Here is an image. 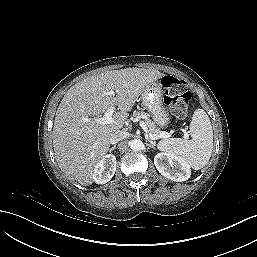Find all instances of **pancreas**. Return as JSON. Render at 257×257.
<instances>
[{
  "mask_svg": "<svg viewBox=\"0 0 257 257\" xmlns=\"http://www.w3.org/2000/svg\"><path fill=\"white\" fill-rule=\"evenodd\" d=\"M133 117H135V118L144 117L145 118V125L149 128L150 132H152L155 135H159L161 133V131L156 128V125L154 124V122L149 119V115L147 113L134 111L133 112Z\"/></svg>",
  "mask_w": 257,
  "mask_h": 257,
  "instance_id": "pancreas-1",
  "label": "pancreas"
}]
</instances>
